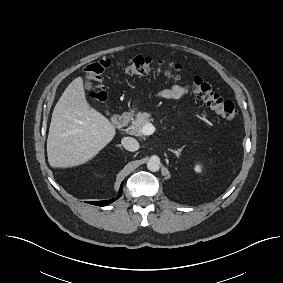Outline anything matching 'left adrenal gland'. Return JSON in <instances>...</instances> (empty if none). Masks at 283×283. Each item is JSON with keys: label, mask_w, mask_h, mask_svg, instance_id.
<instances>
[{"label": "left adrenal gland", "mask_w": 283, "mask_h": 283, "mask_svg": "<svg viewBox=\"0 0 283 283\" xmlns=\"http://www.w3.org/2000/svg\"><path fill=\"white\" fill-rule=\"evenodd\" d=\"M183 148H184V146H182V147H181L180 149H178V150L170 149V151H171L172 153H174V154L177 156V158H179L180 155H181V152L183 151Z\"/></svg>", "instance_id": "obj_1"}]
</instances>
